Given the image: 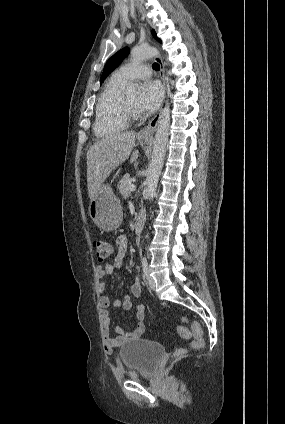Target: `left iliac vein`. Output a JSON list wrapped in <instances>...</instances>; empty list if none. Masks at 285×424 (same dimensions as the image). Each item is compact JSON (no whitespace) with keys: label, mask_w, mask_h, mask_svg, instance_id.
I'll return each mask as SVG.
<instances>
[{"label":"left iliac vein","mask_w":285,"mask_h":424,"mask_svg":"<svg viewBox=\"0 0 285 424\" xmlns=\"http://www.w3.org/2000/svg\"><path fill=\"white\" fill-rule=\"evenodd\" d=\"M147 283L152 290H155V287H156L155 280L149 275H147Z\"/></svg>","instance_id":"4c4485c4"}]
</instances>
